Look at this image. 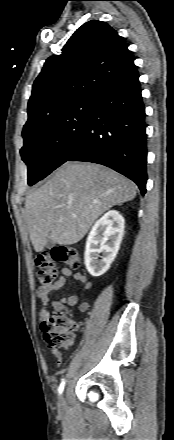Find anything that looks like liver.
<instances>
[{
  "label": "liver",
  "instance_id": "obj_1",
  "mask_svg": "<svg viewBox=\"0 0 174 440\" xmlns=\"http://www.w3.org/2000/svg\"><path fill=\"white\" fill-rule=\"evenodd\" d=\"M136 193L134 183L112 169L64 163L26 197L24 217L35 251H43L48 237L59 245L79 242L99 216Z\"/></svg>",
  "mask_w": 174,
  "mask_h": 440
}]
</instances>
